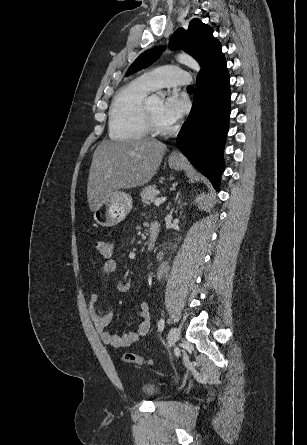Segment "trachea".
Wrapping results in <instances>:
<instances>
[{"label": "trachea", "instance_id": "trachea-1", "mask_svg": "<svg viewBox=\"0 0 307 445\" xmlns=\"http://www.w3.org/2000/svg\"><path fill=\"white\" fill-rule=\"evenodd\" d=\"M187 89H192V90H194V87H193V85H188Z\"/></svg>", "mask_w": 307, "mask_h": 445}]
</instances>
